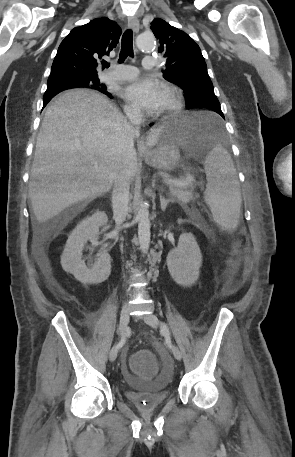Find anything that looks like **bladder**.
<instances>
[{
  "instance_id": "obj_1",
  "label": "bladder",
  "mask_w": 295,
  "mask_h": 457,
  "mask_svg": "<svg viewBox=\"0 0 295 457\" xmlns=\"http://www.w3.org/2000/svg\"><path fill=\"white\" fill-rule=\"evenodd\" d=\"M154 352L161 361L162 371L158 378L136 379L135 375H131L130 360L129 364L120 365L119 377L124 378L125 384H132V387L125 391V396L134 405V411H155L156 407L163 405L170 397L167 384L174 373L172 355L166 352L165 345H155Z\"/></svg>"
}]
</instances>
